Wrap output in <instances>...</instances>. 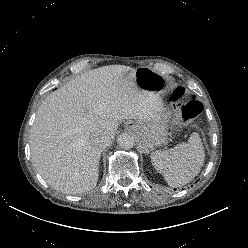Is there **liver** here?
Returning a JSON list of instances; mask_svg holds the SVG:
<instances>
[{
	"instance_id": "liver-1",
	"label": "liver",
	"mask_w": 248,
	"mask_h": 248,
	"mask_svg": "<svg viewBox=\"0 0 248 248\" xmlns=\"http://www.w3.org/2000/svg\"><path fill=\"white\" fill-rule=\"evenodd\" d=\"M135 70L124 65L91 70L42 102L31 127V159L54 189L66 194L94 189L104 149L94 139L110 133L112 140L122 119L159 118L158 94L137 86Z\"/></svg>"
}]
</instances>
